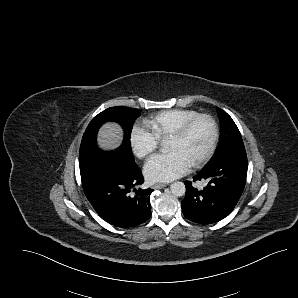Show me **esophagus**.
Wrapping results in <instances>:
<instances>
[{"label": "esophagus", "mask_w": 298, "mask_h": 298, "mask_svg": "<svg viewBox=\"0 0 298 298\" xmlns=\"http://www.w3.org/2000/svg\"><path fill=\"white\" fill-rule=\"evenodd\" d=\"M166 186H167V184H165V183H156V184L152 185V188L153 189H162Z\"/></svg>", "instance_id": "34e87169"}]
</instances>
